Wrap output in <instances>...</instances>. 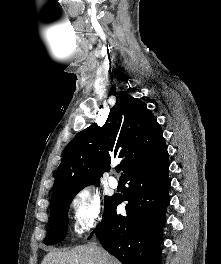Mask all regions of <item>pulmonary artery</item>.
Returning <instances> with one entry per match:
<instances>
[{
	"label": "pulmonary artery",
	"instance_id": "e3ab8cb5",
	"mask_svg": "<svg viewBox=\"0 0 221 264\" xmlns=\"http://www.w3.org/2000/svg\"><path fill=\"white\" fill-rule=\"evenodd\" d=\"M109 185H110L111 188H117L118 185H119L118 179L113 177V176H111L109 178Z\"/></svg>",
	"mask_w": 221,
	"mask_h": 264
}]
</instances>
